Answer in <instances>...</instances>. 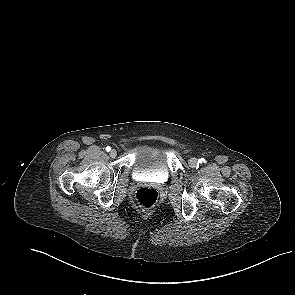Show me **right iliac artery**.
I'll return each mask as SVG.
<instances>
[{
  "label": "right iliac artery",
  "instance_id": "1",
  "mask_svg": "<svg viewBox=\"0 0 295 295\" xmlns=\"http://www.w3.org/2000/svg\"><path fill=\"white\" fill-rule=\"evenodd\" d=\"M106 151H107V152H110V151H111V147H110V146H107V147H106Z\"/></svg>",
  "mask_w": 295,
  "mask_h": 295
}]
</instances>
